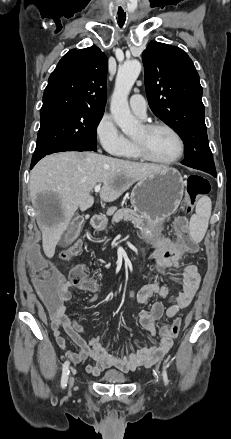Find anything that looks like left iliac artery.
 Returning <instances> with one entry per match:
<instances>
[{"mask_svg":"<svg viewBox=\"0 0 231 439\" xmlns=\"http://www.w3.org/2000/svg\"><path fill=\"white\" fill-rule=\"evenodd\" d=\"M163 380H164V383H165V385H167L168 384V377H167V372H166V367L164 366L163 367Z\"/></svg>","mask_w":231,"mask_h":439,"instance_id":"1","label":"left iliac artery"}]
</instances>
